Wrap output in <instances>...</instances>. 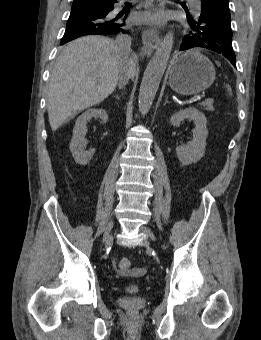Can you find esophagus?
Listing matches in <instances>:
<instances>
[{"label": "esophagus", "instance_id": "esophagus-1", "mask_svg": "<svg viewBox=\"0 0 261 340\" xmlns=\"http://www.w3.org/2000/svg\"><path fill=\"white\" fill-rule=\"evenodd\" d=\"M165 3L166 0H151L150 5L146 6V8L153 12L162 11ZM142 41L144 44V52L156 49L160 43L159 31L156 28L144 29L142 32Z\"/></svg>", "mask_w": 261, "mask_h": 340}]
</instances>
